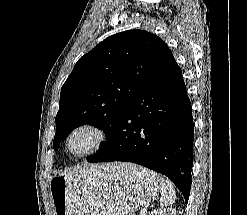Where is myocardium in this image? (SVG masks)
Returning <instances> with one entry per match:
<instances>
[{
	"instance_id": "1",
	"label": "myocardium",
	"mask_w": 247,
	"mask_h": 215,
	"mask_svg": "<svg viewBox=\"0 0 247 215\" xmlns=\"http://www.w3.org/2000/svg\"><path fill=\"white\" fill-rule=\"evenodd\" d=\"M88 132L92 136V141L89 147L81 152L74 153L71 149V142L73 138L80 132ZM107 134L106 132L97 124L93 122H81L75 125L67 134L65 138V148L67 153L77 159L88 157L95 152H97L106 142Z\"/></svg>"
}]
</instances>
